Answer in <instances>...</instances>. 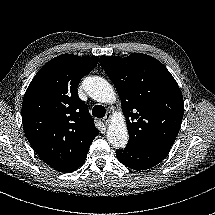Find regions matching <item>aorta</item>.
I'll return each instance as SVG.
<instances>
[{"label":"aorta","instance_id":"obj_1","mask_svg":"<svg viewBox=\"0 0 215 215\" xmlns=\"http://www.w3.org/2000/svg\"><path fill=\"white\" fill-rule=\"evenodd\" d=\"M89 95L98 102H111L115 98L112 85L102 77H90ZM107 140L115 149L125 148L129 134L125 122L117 121L109 126Z\"/></svg>","mask_w":215,"mask_h":215}]
</instances>
